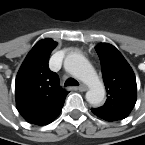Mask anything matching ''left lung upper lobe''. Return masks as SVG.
Wrapping results in <instances>:
<instances>
[{
  "label": "left lung upper lobe",
  "mask_w": 145,
  "mask_h": 145,
  "mask_svg": "<svg viewBox=\"0 0 145 145\" xmlns=\"http://www.w3.org/2000/svg\"><path fill=\"white\" fill-rule=\"evenodd\" d=\"M102 75L107 91V100L92 112L102 119L116 121L126 118L136 103V78L130 65L120 52L108 43L96 46Z\"/></svg>",
  "instance_id": "5c2ea615"
}]
</instances>
